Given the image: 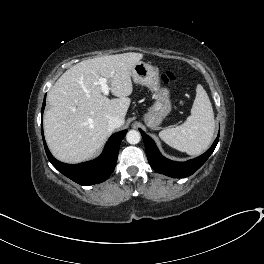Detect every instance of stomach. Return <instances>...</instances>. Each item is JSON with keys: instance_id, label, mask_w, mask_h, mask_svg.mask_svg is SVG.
<instances>
[{"instance_id": "0dacf381", "label": "stomach", "mask_w": 264, "mask_h": 264, "mask_svg": "<svg viewBox=\"0 0 264 264\" xmlns=\"http://www.w3.org/2000/svg\"><path fill=\"white\" fill-rule=\"evenodd\" d=\"M131 76L135 83L148 87L152 92L155 101L144 115V122L150 128H157L170 114L172 108L170 92L160 84L159 69L140 61L131 69Z\"/></svg>"}]
</instances>
